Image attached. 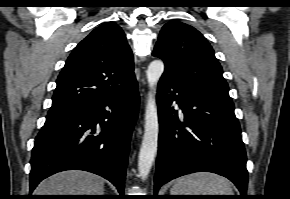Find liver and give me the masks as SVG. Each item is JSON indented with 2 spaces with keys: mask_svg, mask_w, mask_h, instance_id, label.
<instances>
[{
  "mask_svg": "<svg viewBox=\"0 0 290 199\" xmlns=\"http://www.w3.org/2000/svg\"><path fill=\"white\" fill-rule=\"evenodd\" d=\"M36 195H103L104 181L99 176L84 171H65L42 181Z\"/></svg>",
  "mask_w": 290,
  "mask_h": 199,
  "instance_id": "liver-1",
  "label": "liver"
}]
</instances>
